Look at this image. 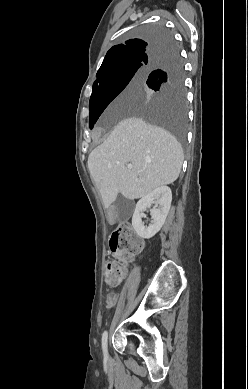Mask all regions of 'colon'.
<instances>
[{
  "mask_svg": "<svg viewBox=\"0 0 248 389\" xmlns=\"http://www.w3.org/2000/svg\"><path fill=\"white\" fill-rule=\"evenodd\" d=\"M142 248L140 238L129 225H123L115 231L109 241V252L120 256L121 261H132L134 253ZM106 280L110 286L117 285L123 278L125 270L114 262H109L105 268Z\"/></svg>",
  "mask_w": 248,
  "mask_h": 389,
  "instance_id": "obj_1",
  "label": "colon"
}]
</instances>
